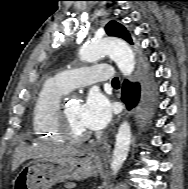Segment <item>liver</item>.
Returning a JSON list of instances; mask_svg holds the SVG:
<instances>
[{
    "instance_id": "1",
    "label": "liver",
    "mask_w": 188,
    "mask_h": 189,
    "mask_svg": "<svg viewBox=\"0 0 188 189\" xmlns=\"http://www.w3.org/2000/svg\"><path fill=\"white\" fill-rule=\"evenodd\" d=\"M84 151L77 149L70 145L53 144V145H40L37 147H28L24 144H20L16 147L13 162L12 171H15L26 159L29 158H58L67 156H82Z\"/></svg>"
}]
</instances>
